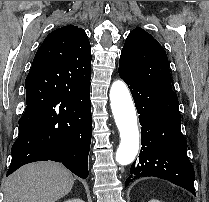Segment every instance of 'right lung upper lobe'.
<instances>
[{
    "label": "right lung upper lobe",
    "mask_w": 209,
    "mask_h": 202,
    "mask_svg": "<svg viewBox=\"0 0 209 202\" xmlns=\"http://www.w3.org/2000/svg\"><path fill=\"white\" fill-rule=\"evenodd\" d=\"M32 65L50 71L65 83H90L91 46L85 31L74 25L54 30L37 50Z\"/></svg>",
    "instance_id": "right-lung-upper-lobe-1"
}]
</instances>
